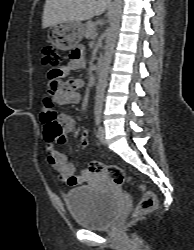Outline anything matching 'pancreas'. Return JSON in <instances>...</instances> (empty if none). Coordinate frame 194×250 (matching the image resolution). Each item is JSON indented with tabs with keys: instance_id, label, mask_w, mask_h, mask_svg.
Here are the masks:
<instances>
[{
	"instance_id": "obj_1",
	"label": "pancreas",
	"mask_w": 194,
	"mask_h": 250,
	"mask_svg": "<svg viewBox=\"0 0 194 250\" xmlns=\"http://www.w3.org/2000/svg\"><path fill=\"white\" fill-rule=\"evenodd\" d=\"M96 31V24L92 21H87L84 25V36L86 38H93Z\"/></svg>"
}]
</instances>
